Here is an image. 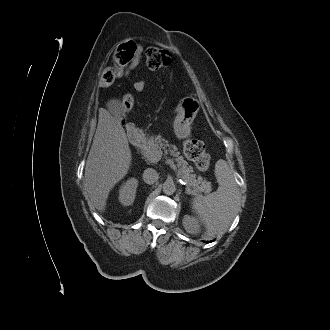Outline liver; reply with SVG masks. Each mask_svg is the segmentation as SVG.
Listing matches in <instances>:
<instances>
[{
  "label": "liver",
  "instance_id": "obj_1",
  "mask_svg": "<svg viewBox=\"0 0 330 330\" xmlns=\"http://www.w3.org/2000/svg\"><path fill=\"white\" fill-rule=\"evenodd\" d=\"M119 105L100 108L98 125L85 166V188L91 205L106 209L110 190L128 172L132 160L124 128L114 113Z\"/></svg>",
  "mask_w": 330,
  "mask_h": 330
}]
</instances>
